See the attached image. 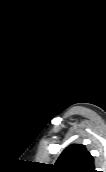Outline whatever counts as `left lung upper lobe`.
<instances>
[{
  "mask_svg": "<svg viewBox=\"0 0 106 172\" xmlns=\"http://www.w3.org/2000/svg\"><path fill=\"white\" fill-rule=\"evenodd\" d=\"M55 172H96L93 157L84 145L67 147L53 166Z\"/></svg>",
  "mask_w": 106,
  "mask_h": 172,
  "instance_id": "5c2ea615",
  "label": "left lung upper lobe"
}]
</instances>
